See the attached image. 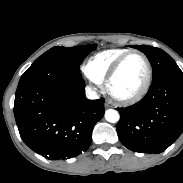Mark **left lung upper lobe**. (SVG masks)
<instances>
[{
    "instance_id": "1",
    "label": "left lung upper lobe",
    "mask_w": 183,
    "mask_h": 183,
    "mask_svg": "<svg viewBox=\"0 0 183 183\" xmlns=\"http://www.w3.org/2000/svg\"><path fill=\"white\" fill-rule=\"evenodd\" d=\"M131 47L139 49L149 59L153 68L152 80L180 70L176 62L166 52L159 48L148 45H136Z\"/></svg>"
}]
</instances>
